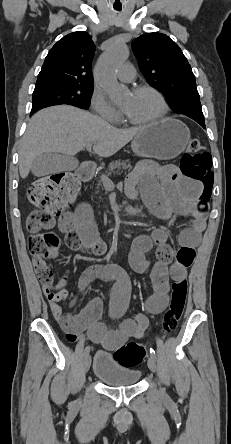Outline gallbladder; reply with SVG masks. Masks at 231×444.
Segmentation results:
<instances>
[{
    "label": "gallbladder",
    "instance_id": "1",
    "mask_svg": "<svg viewBox=\"0 0 231 444\" xmlns=\"http://www.w3.org/2000/svg\"><path fill=\"white\" fill-rule=\"evenodd\" d=\"M68 160L66 155L43 153L34 159L31 170L35 176H46L68 169L65 164Z\"/></svg>",
    "mask_w": 231,
    "mask_h": 444
}]
</instances>
